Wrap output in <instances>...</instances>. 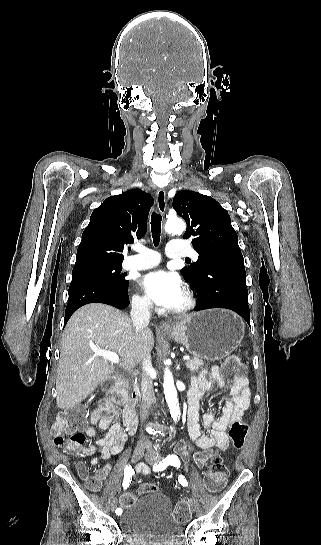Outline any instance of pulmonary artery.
Wrapping results in <instances>:
<instances>
[{
    "label": "pulmonary artery",
    "instance_id": "pulmonary-artery-1",
    "mask_svg": "<svg viewBox=\"0 0 321 545\" xmlns=\"http://www.w3.org/2000/svg\"><path fill=\"white\" fill-rule=\"evenodd\" d=\"M169 259L171 261H193L195 254L192 247L187 246L185 241H170L168 244ZM158 252L144 248L142 253L143 260L127 258L123 261L122 267L125 270H146L150 269L160 262Z\"/></svg>",
    "mask_w": 321,
    "mask_h": 545
}]
</instances>
